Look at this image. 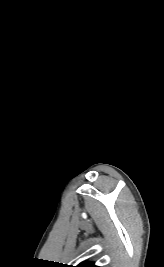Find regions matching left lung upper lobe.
<instances>
[{"label": "left lung upper lobe", "mask_w": 164, "mask_h": 267, "mask_svg": "<svg viewBox=\"0 0 164 267\" xmlns=\"http://www.w3.org/2000/svg\"><path fill=\"white\" fill-rule=\"evenodd\" d=\"M76 267H97L93 263H81Z\"/></svg>", "instance_id": "obj_1"}]
</instances>
